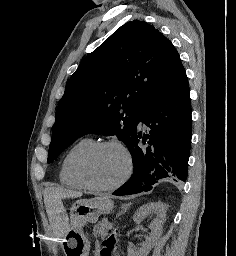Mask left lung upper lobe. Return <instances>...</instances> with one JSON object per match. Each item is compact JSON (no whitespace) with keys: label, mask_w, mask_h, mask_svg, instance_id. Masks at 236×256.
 <instances>
[{"label":"left lung upper lobe","mask_w":236,"mask_h":256,"mask_svg":"<svg viewBox=\"0 0 236 256\" xmlns=\"http://www.w3.org/2000/svg\"><path fill=\"white\" fill-rule=\"evenodd\" d=\"M184 70L172 43L139 20L118 28L87 55L56 110L48 163L78 137L116 135L127 146L146 104Z\"/></svg>","instance_id":"5c2ea615"}]
</instances>
